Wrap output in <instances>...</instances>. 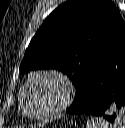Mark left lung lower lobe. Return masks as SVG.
<instances>
[{
	"label": "left lung lower lobe",
	"mask_w": 125,
	"mask_h": 128,
	"mask_svg": "<svg viewBox=\"0 0 125 128\" xmlns=\"http://www.w3.org/2000/svg\"><path fill=\"white\" fill-rule=\"evenodd\" d=\"M69 114L100 116L113 124L125 118V31L91 70Z\"/></svg>",
	"instance_id": "0a47b994"
}]
</instances>
